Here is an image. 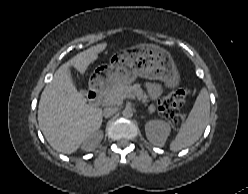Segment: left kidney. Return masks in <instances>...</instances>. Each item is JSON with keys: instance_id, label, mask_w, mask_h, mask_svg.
<instances>
[{"instance_id": "1", "label": "left kidney", "mask_w": 248, "mask_h": 194, "mask_svg": "<svg viewBox=\"0 0 248 194\" xmlns=\"http://www.w3.org/2000/svg\"><path fill=\"white\" fill-rule=\"evenodd\" d=\"M170 131V125L162 120H151L145 125L147 139L159 147L164 146Z\"/></svg>"}]
</instances>
